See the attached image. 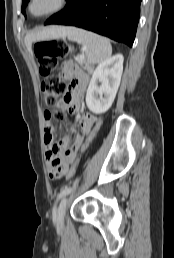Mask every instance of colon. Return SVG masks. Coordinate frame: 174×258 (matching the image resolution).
Listing matches in <instances>:
<instances>
[{
    "label": "colon",
    "instance_id": "obj_1",
    "mask_svg": "<svg viewBox=\"0 0 174 258\" xmlns=\"http://www.w3.org/2000/svg\"><path fill=\"white\" fill-rule=\"evenodd\" d=\"M33 50L39 64L40 73L45 76L41 84L45 103L50 107L51 117L57 121L63 120L64 113L57 108V104L58 99L67 92L70 83L65 79L53 76L52 72L57 67L58 60L72 52V47L64 40H43L36 42ZM101 125V118H96L82 151L86 150L93 142ZM76 165L77 161L68 169L65 175L68 179L74 176Z\"/></svg>",
    "mask_w": 174,
    "mask_h": 258
}]
</instances>
